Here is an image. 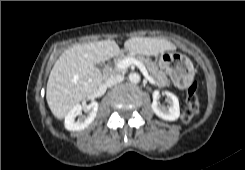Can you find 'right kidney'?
I'll use <instances>...</instances> for the list:
<instances>
[{
	"mask_svg": "<svg viewBox=\"0 0 245 170\" xmlns=\"http://www.w3.org/2000/svg\"><path fill=\"white\" fill-rule=\"evenodd\" d=\"M98 103L93 101L89 105H75L66 115L64 126L69 131H80L88 127L95 119L98 111ZM82 110L87 112L82 116Z\"/></svg>",
	"mask_w": 245,
	"mask_h": 170,
	"instance_id": "ca27d5eb",
	"label": "right kidney"
}]
</instances>
